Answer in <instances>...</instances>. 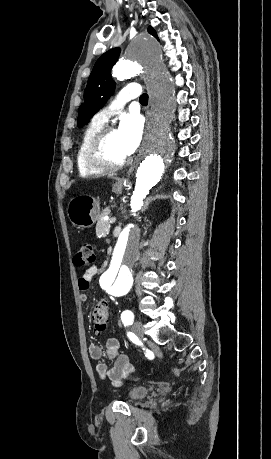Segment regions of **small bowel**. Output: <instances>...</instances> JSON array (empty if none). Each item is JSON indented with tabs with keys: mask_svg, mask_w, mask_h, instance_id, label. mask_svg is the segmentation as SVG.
Masks as SVG:
<instances>
[{
	"mask_svg": "<svg viewBox=\"0 0 271 459\" xmlns=\"http://www.w3.org/2000/svg\"><path fill=\"white\" fill-rule=\"evenodd\" d=\"M103 267L91 266L87 268L78 279V289L80 300L85 302L88 299L87 291L92 278L101 273ZM119 341L111 337L106 342V349L102 350L99 346L91 344L89 346L90 356L95 360L106 358L113 361V365L108 367L105 363L99 362L96 365V374L101 379H109L115 386L121 385L123 380L129 376L133 367L126 355L120 353Z\"/></svg>",
	"mask_w": 271,
	"mask_h": 459,
	"instance_id": "small-bowel-1",
	"label": "small bowel"
}]
</instances>
